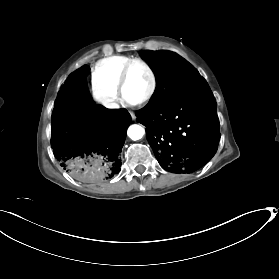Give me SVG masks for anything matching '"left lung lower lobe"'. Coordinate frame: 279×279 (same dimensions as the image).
<instances>
[{
    "mask_svg": "<svg viewBox=\"0 0 279 279\" xmlns=\"http://www.w3.org/2000/svg\"><path fill=\"white\" fill-rule=\"evenodd\" d=\"M137 121L161 167L191 173L216 153L220 139L216 101L206 81L154 110L140 109Z\"/></svg>",
    "mask_w": 279,
    "mask_h": 279,
    "instance_id": "obj_1",
    "label": "left lung lower lobe"
}]
</instances>
